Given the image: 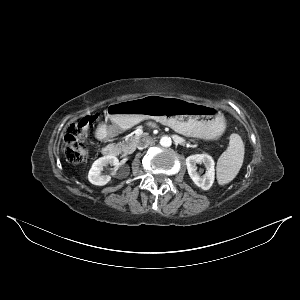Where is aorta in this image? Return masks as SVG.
I'll use <instances>...</instances> for the list:
<instances>
[{
    "label": "aorta",
    "mask_w": 300,
    "mask_h": 300,
    "mask_svg": "<svg viewBox=\"0 0 300 300\" xmlns=\"http://www.w3.org/2000/svg\"><path fill=\"white\" fill-rule=\"evenodd\" d=\"M160 144L161 146L163 147H170L171 144H172V140L170 137L168 136H163L161 139H160Z\"/></svg>",
    "instance_id": "1"
}]
</instances>
